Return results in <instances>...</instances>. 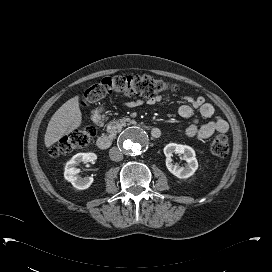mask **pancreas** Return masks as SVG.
Returning a JSON list of instances; mask_svg holds the SVG:
<instances>
[{
    "label": "pancreas",
    "instance_id": "pancreas-1",
    "mask_svg": "<svg viewBox=\"0 0 272 272\" xmlns=\"http://www.w3.org/2000/svg\"><path fill=\"white\" fill-rule=\"evenodd\" d=\"M131 123L132 120L130 118H123L113 121L107 126V132L110 134V136L114 137L116 133L122 130L123 127Z\"/></svg>",
    "mask_w": 272,
    "mask_h": 272
}]
</instances>
